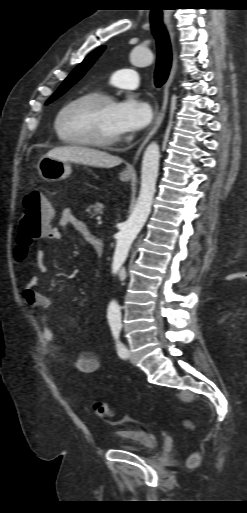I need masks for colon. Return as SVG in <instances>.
Listing matches in <instances>:
<instances>
[{
	"label": "colon",
	"instance_id": "5ec220e1",
	"mask_svg": "<svg viewBox=\"0 0 247 513\" xmlns=\"http://www.w3.org/2000/svg\"><path fill=\"white\" fill-rule=\"evenodd\" d=\"M53 216V205L43 192L33 190L25 195L15 249L17 260L24 259L28 247L50 230ZM92 410L101 418L112 415L109 405L101 399L93 401ZM186 425L193 428L189 422H186Z\"/></svg>",
	"mask_w": 247,
	"mask_h": 513
}]
</instances>
